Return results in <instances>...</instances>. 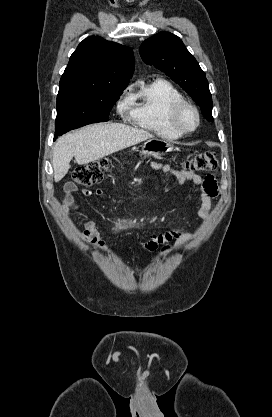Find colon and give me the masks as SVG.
I'll list each match as a JSON object with an SVG mask.
<instances>
[{"label":"colon","instance_id":"1","mask_svg":"<svg viewBox=\"0 0 272 417\" xmlns=\"http://www.w3.org/2000/svg\"><path fill=\"white\" fill-rule=\"evenodd\" d=\"M182 166L190 172H213L218 167L215 153L206 152L198 154L183 161ZM110 169L109 159H101L89 162L75 168L71 174V180L75 184L91 186L100 182ZM170 245L163 248V253L170 251Z\"/></svg>","mask_w":272,"mask_h":417}]
</instances>
